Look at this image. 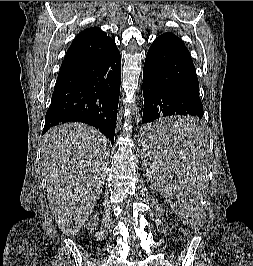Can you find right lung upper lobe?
<instances>
[{"label":"right lung upper lobe","instance_id":"1","mask_svg":"<svg viewBox=\"0 0 253 266\" xmlns=\"http://www.w3.org/2000/svg\"><path fill=\"white\" fill-rule=\"evenodd\" d=\"M117 49L115 42L99 27L81 31L69 47L58 77L79 67L99 61Z\"/></svg>","mask_w":253,"mask_h":266}]
</instances>
